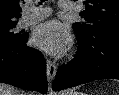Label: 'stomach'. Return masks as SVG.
<instances>
[{
  "label": "stomach",
  "instance_id": "obj_1",
  "mask_svg": "<svg viewBox=\"0 0 119 95\" xmlns=\"http://www.w3.org/2000/svg\"><path fill=\"white\" fill-rule=\"evenodd\" d=\"M69 95H85V94L81 92H71Z\"/></svg>",
  "mask_w": 119,
  "mask_h": 95
}]
</instances>
